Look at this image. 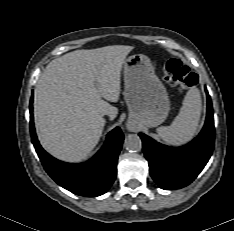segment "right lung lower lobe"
Returning a JSON list of instances; mask_svg holds the SVG:
<instances>
[{"mask_svg": "<svg viewBox=\"0 0 234 231\" xmlns=\"http://www.w3.org/2000/svg\"><path fill=\"white\" fill-rule=\"evenodd\" d=\"M30 129L32 143L50 177L70 192L87 197L100 196L110 188L116 178V164L124 136L119 127L113 129L104 146L95 157L84 164L61 162L49 155L40 145L33 123L30 101Z\"/></svg>", "mask_w": 234, "mask_h": 231, "instance_id": "1", "label": "right lung lower lobe"}]
</instances>
